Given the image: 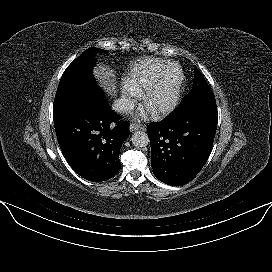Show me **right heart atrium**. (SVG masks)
<instances>
[{
    "mask_svg": "<svg viewBox=\"0 0 272 272\" xmlns=\"http://www.w3.org/2000/svg\"><path fill=\"white\" fill-rule=\"evenodd\" d=\"M138 94L132 90L124 88L120 96V109L124 112L131 110L136 102Z\"/></svg>",
    "mask_w": 272,
    "mask_h": 272,
    "instance_id": "d8ad5b80",
    "label": "right heart atrium"
}]
</instances>
